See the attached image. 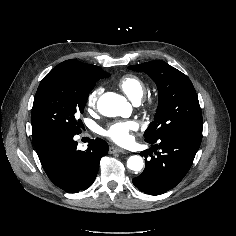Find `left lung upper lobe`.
<instances>
[{"mask_svg":"<svg viewBox=\"0 0 236 236\" xmlns=\"http://www.w3.org/2000/svg\"><path fill=\"white\" fill-rule=\"evenodd\" d=\"M128 68L147 73L158 87V108L154 121L144 133L146 141L175 134L202 139L198 97L185 74L164 61H150Z\"/></svg>","mask_w":236,"mask_h":236,"instance_id":"1","label":"left lung upper lobe"}]
</instances>
